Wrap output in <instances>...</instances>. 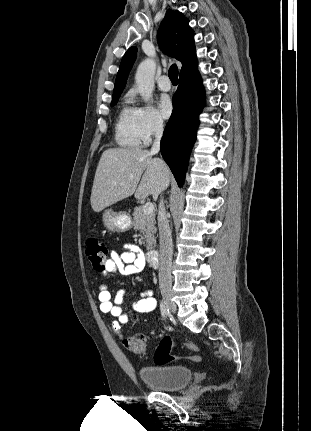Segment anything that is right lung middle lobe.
Here are the masks:
<instances>
[{
    "mask_svg": "<svg viewBox=\"0 0 311 431\" xmlns=\"http://www.w3.org/2000/svg\"><path fill=\"white\" fill-rule=\"evenodd\" d=\"M118 99H119V96L112 98L111 106H114L116 104V102L118 101Z\"/></svg>",
    "mask_w": 311,
    "mask_h": 431,
    "instance_id": "obj_1",
    "label": "right lung middle lobe"
}]
</instances>
